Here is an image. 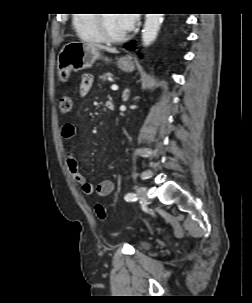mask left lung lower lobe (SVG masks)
<instances>
[{
  "label": "left lung lower lobe",
  "instance_id": "obj_1",
  "mask_svg": "<svg viewBox=\"0 0 252 303\" xmlns=\"http://www.w3.org/2000/svg\"><path fill=\"white\" fill-rule=\"evenodd\" d=\"M134 45H135V41H132V42H130V43L125 44L124 47H125L126 49H128V50L133 51V50H134Z\"/></svg>",
  "mask_w": 252,
  "mask_h": 303
}]
</instances>
